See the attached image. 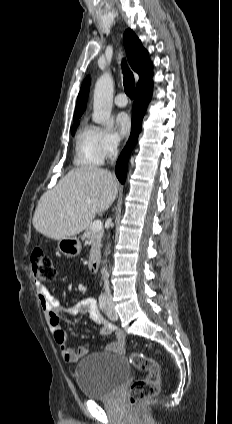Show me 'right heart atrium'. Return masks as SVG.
<instances>
[{
	"instance_id": "1",
	"label": "right heart atrium",
	"mask_w": 232,
	"mask_h": 424,
	"mask_svg": "<svg viewBox=\"0 0 232 424\" xmlns=\"http://www.w3.org/2000/svg\"><path fill=\"white\" fill-rule=\"evenodd\" d=\"M99 146L104 157L112 156L119 147V137L111 130H100Z\"/></svg>"
}]
</instances>
